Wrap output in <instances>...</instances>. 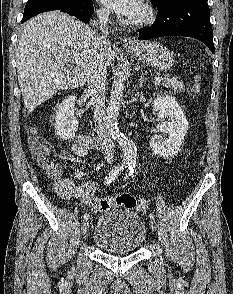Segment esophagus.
Listing matches in <instances>:
<instances>
[{
    "label": "esophagus",
    "instance_id": "obj_1",
    "mask_svg": "<svg viewBox=\"0 0 233 294\" xmlns=\"http://www.w3.org/2000/svg\"><path fill=\"white\" fill-rule=\"evenodd\" d=\"M122 42L125 47H136L137 46V43L128 37H124Z\"/></svg>",
    "mask_w": 233,
    "mask_h": 294
}]
</instances>
